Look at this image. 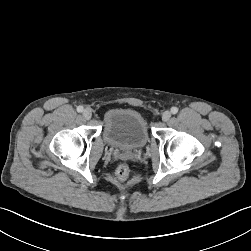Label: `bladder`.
Returning <instances> with one entry per match:
<instances>
[{
    "mask_svg": "<svg viewBox=\"0 0 251 251\" xmlns=\"http://www.w3.org/2000/svg\"><path fill=\"white\" fill-rule=\"evenodd\" d=\"M103 136L116 148L133 150L149 140V131L143 115L131 108L109 110L104 116Z\"/></svg>",
    "mask_w": 251,
    "mask_h": 251,
    "instance_id": "bladder-1",
    "label": "bladder"
}]
</instances>
